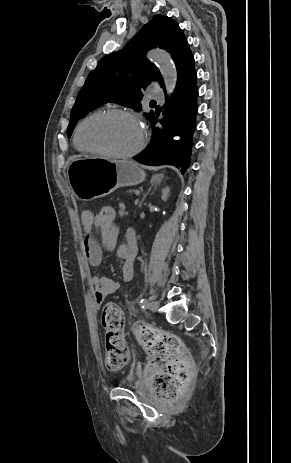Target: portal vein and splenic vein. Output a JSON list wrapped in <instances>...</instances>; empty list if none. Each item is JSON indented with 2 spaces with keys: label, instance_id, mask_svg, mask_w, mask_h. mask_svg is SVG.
Masks as SVG:
<instances>
[{
  "label": "portal vein and splenic vein",
  "instance_id": "1",
  "mask_svg": "<svg viewBox=\"0 0 291 463\" xmlns=\"http://www.w3.org/2000/svg\"><path fill=\"white\" fill-rule=\"evenodd\" d=\"M135 194H137V195H138V194H139V190H135Z\"/></svg>",
  "mask_w": 291,
  "mask_h": 463
}]
</instances>
